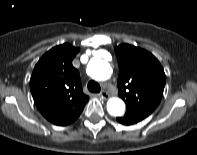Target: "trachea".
<instances>
[{
    "instance_id": "1",
    "label": "trachea",
    "mask_w": 197,
    "mask_h": 155,
    "mask_svg": "<svg viewBox=\"0 0 197 155\" xmlns=\"http://www.w3.org/2000/svg\"><path fill=\"white\" fill-rule=\"evenodd\" d=\"M87 87H88V90L90 92H92V93H98L101 90L100 85L97 82L93 81V80L88 82Z\"/></svg>"
}]
</instances>
